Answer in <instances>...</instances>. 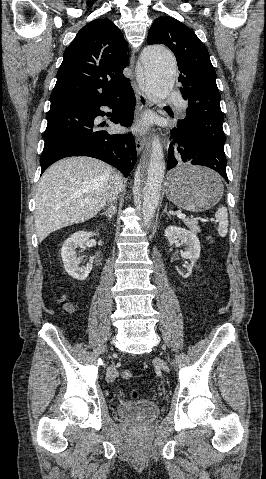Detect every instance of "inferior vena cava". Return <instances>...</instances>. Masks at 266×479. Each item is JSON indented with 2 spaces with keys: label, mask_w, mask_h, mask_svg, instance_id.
<instances>
[{
  "label": "inferior vena cava",
  "mask_w": 266,
  "mask_h": 479,
  "mask_svg": "<svg viewBox=\"0 0 266 479\" xmlns=\"http://www.w3.org/2000/svg\"><path fill=\"white\" fill-rule=\"evenodd\" d=\"M122 187V178L120 176V174H116L114 179H113V182L111 184V187H110V193H109V197H108V203H113L115 202L116 200V197L120 191Z\"/></svg>",
  "instance_id": "obj_1"
}]
</instances>
